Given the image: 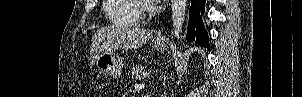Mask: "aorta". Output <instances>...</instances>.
Returning <instances> with one entry per match:
<instances>
[{"label":"aorta","mask_w":302,"mask_h":97,"mask_svg":"<svg viewBox=\"0 0 302 97\" xmlns=\"http://www.w3.org/2000/svg\"><path fill=\"white\" fill-rule=\"evenodd\" d=\"M171 2L172 29L175 37H179L185 21L187 0H172Z\"/></svg>","instance_id":"obj_1"}]
</instances>
